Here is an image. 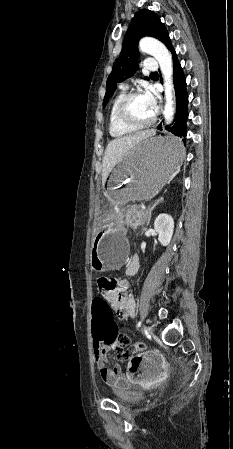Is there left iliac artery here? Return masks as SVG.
<instances>
[{
	"label": "left iliac artery",
	"mask_w": 233,
	"mask_h": 449,
	"mask_svg": "<svg viewBox=\"0 0 233 449\" xmlns=\"http://www.w3.org/2000/svg\"><path fill=\"white\" fill-rule=\"evenodd\" d=\"M141 325H142V322L139 321L138 324H137V327L139 328V327H141Z\"/></svg>",
	"instance_id": "44dca946"
}]
</instances>
